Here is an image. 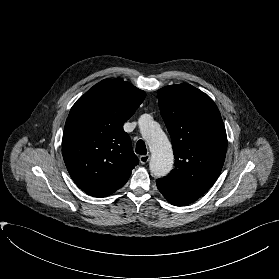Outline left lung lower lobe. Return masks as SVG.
I'll list each match as a JSON object with an SVG mask.
<instances>
[{
  "mask_svg": "<svg viewBox=\"0 0 279 279\" xmlns=\"http://www.w3.org/2000/svg\"><path fill=\"white\" fill-rule=\"evenodd\" d=\"M157 187L163 196L171 204L176 206H185L195 202L199 197L189 195L184 192L177 191L176 189L164 184L163 182L157 181Z\"/></svg>",
  "mask_w": 279,
  "mask_h": 279,
  "instance_id": "obj_1",
  "label": "left lung lower lobe"
}]
</instances>
